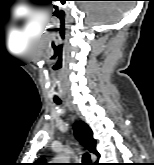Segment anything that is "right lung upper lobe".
I'll return each instance as SVG.
<instances>
[{
    "mask_svg": "<svg viewBox=\"0 0 154 165\" xmlns=\"http://www.w3.org/2000/svg\"><path fill=\"white\" fill-rule=\"evenodd\" d=\"M75 136L80 140L91 153L98 154L96 150V140L93 138V133L90 127L83 121H78L74 126ZM34 165H49L45 163L44 159H38Z\"/></svg>",
    "mask_w": 154,
    "mask_h": 165,
    "instance_id": "1",
    "label": "right lung upper lobe"
}]
</instances>
